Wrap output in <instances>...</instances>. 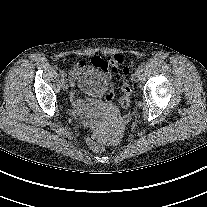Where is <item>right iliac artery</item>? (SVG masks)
Listing matches in <instances>:
<instances>
[{"instance_id": "obj_1", "label": "right iliac artery", "mask_w": 207, "mask_h": 207, "mask_svg": "<svg viewBox=\"0 0 207 207\" xmlns=\"http://www.w3.org/2000/svg\"><path fill=\"white\" fill-rule=\"evenodd\" d=\"M59 75H60V77L64 78L65 77V72L64 71H60Z\"/></svg>"}]
</instances>
